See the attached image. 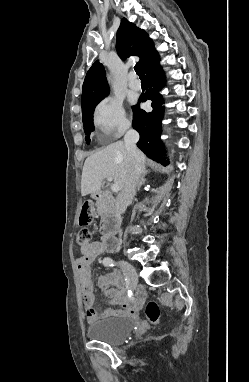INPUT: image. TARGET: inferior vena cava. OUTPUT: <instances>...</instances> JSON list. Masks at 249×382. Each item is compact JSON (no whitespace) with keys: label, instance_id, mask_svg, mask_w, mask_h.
Here are the masks:
<instances>
[{"label":"inferior vena cava","instance_id":"obj_1","mask_svg":"<svg viewBox=\"0 0 249 382\" xmlns=\"http://www.w3.org/2000/svg\"><path fill=\"white\" fill-rule=\"evenodd\" d=\"M139 140V133L128 128L124 136V143L127 149L130 166L126 175L124 186L117 196L115 208L119 214H123L127 206L132 202L133 197L136 195V188L139 184L140 178V166H139V152L136 147V143Z\"/></svg>","mask_w":249,"mask_h":382}]
</instances>
